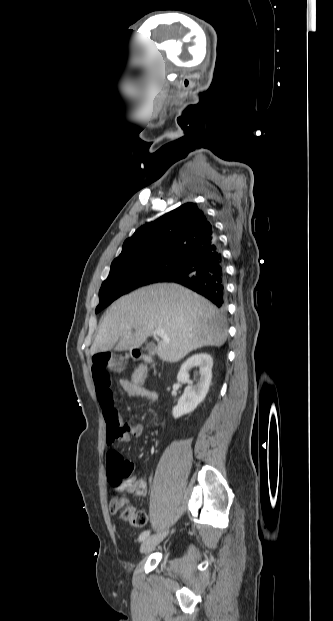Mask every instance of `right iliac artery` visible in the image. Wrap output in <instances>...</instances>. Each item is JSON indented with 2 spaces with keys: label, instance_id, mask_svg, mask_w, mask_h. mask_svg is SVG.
<instances>
[{
  "label": "right iliac artery",
  "instance_id": "82829eb1",
  "mask_svg": "<svg viewBox=\"0 0 333 621\" xmlns=\"http://www.w3.org/2000/svg\"><path fill=\"white\" fill-rule=\"evenodd\" d=\"M150 534L149 530L143 531L140 536H139V541L142 542L144 541Z\"/></svg>",
  "mask_w": 333,
  "mask_h": 621
}]
</instances>
